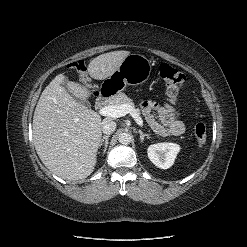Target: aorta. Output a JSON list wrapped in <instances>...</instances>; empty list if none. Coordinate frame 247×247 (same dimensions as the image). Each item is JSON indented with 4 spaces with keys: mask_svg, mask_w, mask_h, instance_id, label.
I'll list each match as a JSON object with an SVG mask.
<instances>
[{
    "mask_svg": "<svg viewBox=\"0 0 247 247\" xmlns=\"http://www.w3.org/2000/svg\"><path fill=\"white\" fill-rule=\"evenodd\" d=\"M118 141L123 145H127L132 141V136L129 133H120Z\"/></svg>",
    "mask_w": 247,
    "mask_h": 247,
    "instance_id": "1",
    "label": "aorta"
}]
</instances>
